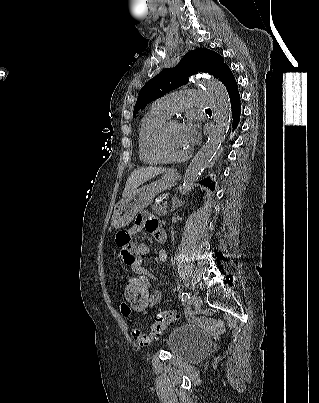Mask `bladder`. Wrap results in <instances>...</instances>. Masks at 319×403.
I'll return each mask as SVG.
<instances>
[{
  "mask_svg": "<svg viewBox=\"0 0 319 403\" xmlns=\"http://www.w3.org/2000/svg\"><path fill=\"white\" fill-rule=\"evenodd\" d=\"M167 350L172 357L182 361L200 360L209 346L208 336L198 328L178 326L165 338Z\"/></svg>",
  "mask_w": 319,
  "mask_h": 403,
  "instance_id": "1",
  "label": "bladder"
}]
</instances>
